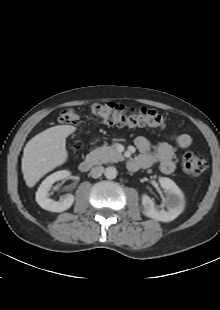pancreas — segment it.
Instances as JSON below:
<instances>
[{
    "label": "pancreas",
    "instance_id": "cf45deb5",
    "mask_svg": "<svg viewBox=\"0 0 220 310\" xmlns=\"http://www.w3.org/2000/svg\"><path fill=\"white\" fill-rule=\"evenodd\" d=\"M94 164H105L108 162H118L123 160L122 154L117 152L114 147L102 146L91 151L88 156Z\"/></svg>",
    "mask_w": 220,
    "mask_h": 310
}]
</instances>
